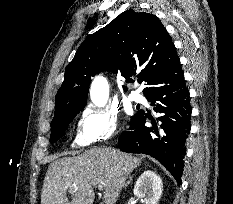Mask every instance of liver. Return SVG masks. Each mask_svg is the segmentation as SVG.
Listing matches in <instances>:
<instances>
[{
	"label": "liver",
	"mask_w": 233,
	"mask_h": 204,
	"mask_svg": "<svg viewBox=\"0 0 233 204\" xmlns=\"http://www.w3.org/2000/svg\"><path fill=\"white\" fill-rule=\"evenodd\" d=\"M141 158L111 147L93 148L81 155L53 161L47 170L41 204H93L94 186H103L104 204L116 203L128 176ZM71 193V200L66 196Z\"/></svg>",
	"instance_id": "obj_1"
}]
</instances>
